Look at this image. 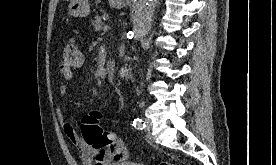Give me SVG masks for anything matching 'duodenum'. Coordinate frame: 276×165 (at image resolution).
<instances>
[{
  "instance_id": "410a0bca",
  "label": "duodenum",
  "mask_w": 276,
  "mask_h": 165,
  "mask_svg": "<svg viewBox=\"0 0 276 165\" xmlns=\"http://www.w3.org/2000/svg\"><path fill=\"white\" fill-rule=\"evenodd\" d=\"M105 73L109 80H113L115 76V66L112 62H108L105 66Z\"/></svg>"
}]
</instances>
